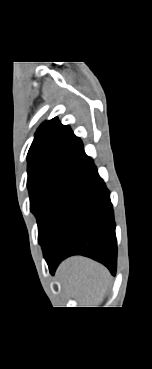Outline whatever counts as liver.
Segmentation results:
<instances>
[{
    "instance_id": "1",
    "label": "liver",
    "mask_w": 152,
    "mask_h": 369,
    "mask_svg": "<svg viewBox=\"0 0 152 369\" xmlns=\"http://www.w3.org/2000/svg\"><path fill=\"white\" fill-rule=\"evenodd\" d=\"M57 276L81 305H92L102 301L110 280L109 272L103 265L81 256L62 262Z\"/></svg>"
}]
</instances>
